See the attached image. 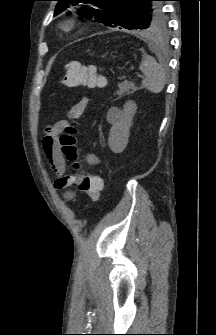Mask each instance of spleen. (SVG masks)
I'll list each match as a JSON object with an SVG mask.
<instances>
[{
  "label": "spleen",
  "mask_w": 216,
  "mask_h": 335,
  "mask_svg": "<svg viewBox=\"0 0 216 335\" xmlns=\"http://www.w3.org/2000/svg\"><path fill=\"white\" fill-rule=\"evenodd\" d=\"M139 69L144 74L142 86L152 93H160L166 83V71L149 55L144 54Z\"/></svg>",
  "instance_id": "3e777b00"
}]
</instances>
